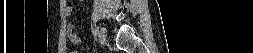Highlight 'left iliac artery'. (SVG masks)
I'll return each instance as SVG.
<instances>
[{"label": "left iliac artery", "mask_w": 253, "mask_h": 53, "mask_svg": "<svg viewBox=\"0 0 253 53\" xmlns=\"http://www.w3.org/2000/svg\"><path fill=\"white\" fill-rule=\"evenodd\" d=\"M93 36L95 37L94 42L98 43L99 42L98 37L100 36V33H99L98 27H96V25L94 26V29H93Z\"/></svg>", "instance_id": "obj_1"}]
</instances>
